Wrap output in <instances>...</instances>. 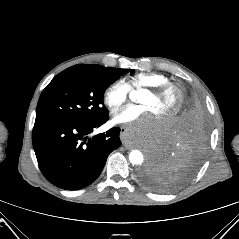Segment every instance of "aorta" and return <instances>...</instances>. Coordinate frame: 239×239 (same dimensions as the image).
<instances>
[{"label":"aorta","instance_id":"1","mask_svg":"<svg viewBox=\"0 0 239 239\" xmlns=\"http://www.w3.org/2000/svg\"><path fill=\"white\" fill-rule=\"evenodd\" d=\"M129 96L130 99L134 101L137 97V92H131ZM129 161L133 165H141L144 162V155L140 150H132L129 153Z\"/></svg>","mask_w":239,"mask_h":239}]
</instances>
